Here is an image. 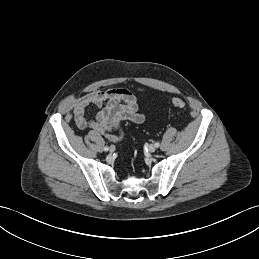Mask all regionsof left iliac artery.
<instances>
[{"label":"left iliac artery","mask_w":259,"mask_h":259,"mask_svg":"<svg viewBox=\"0 0 259 259\" xmlns=\"http://www.w3.org/2000/svg\"><path fill=\"white\" fill-rule=\"evenodd\" d=\"M159 145H160L159 142H156V143H155V146H156V147H159Z\"/></svg>","instance_id":"44dca946"}]
</instances>
